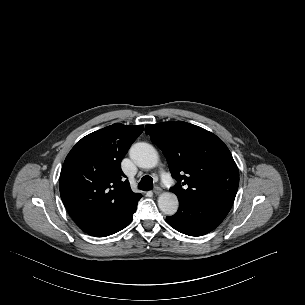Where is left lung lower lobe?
Masks as SVG:
<instances>
[{
	"label": "left lung lower lobe",
	"mask_w": 305,
	"mask_h": 305,
	"mask_svg": "<svg viewBox=\"0 0 305 305\" xmlns=\"http://www.w3.org/2000/svg\"><path fill=\"white\" fill-rule=\"evenodd\" d=\"M180 201V208L173 216H167L168 223L177 231L201 236L215 229L226 217L232 204L228 201L191 203Z\"/></svg>",
	"instance_id": "obj_1"
}]
</instances>
